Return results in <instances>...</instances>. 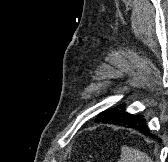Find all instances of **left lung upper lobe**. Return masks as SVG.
I'll use <instances>...</instances> for the list:
<instances>
[{
    "mask_svg": "<svg viewBox=\"0 0 168 162\" xmlns=\"http://www.w3.org/2000/svg\"><path fill=\"white\" fill-rule=\"evenodd\" d=\"M101 116H102V113H100L96 119L98 120L99 118H101Z\"/></svg>",
    "mask_w": 168,
    "mask_h": 162,
    "instance_id": "1",
    "label": "left lung upper lobe"
}]
</instances>
